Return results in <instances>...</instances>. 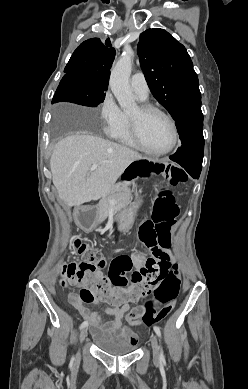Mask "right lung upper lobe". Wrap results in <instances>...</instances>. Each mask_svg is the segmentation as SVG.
<instances>
[{
    "mask_svg": "<svg viewBox=\"0 0 248 389\" xmlns=\"http://www.w3.org/2000/svg\"><path fill=\"white\" fill-rule=\"evenodd\" d=\"M115 57L110 39L91 38L74 51L64 72H82L89 82L108 87L110 68Z\"/></svg>",
    "mask_w": 248,
    "mask_h": 389,
    "instance_id": "1",
    "label": "right lung upper lobe"
}]
</instances>
